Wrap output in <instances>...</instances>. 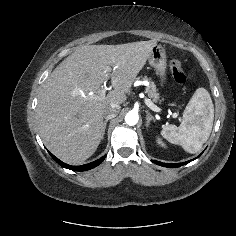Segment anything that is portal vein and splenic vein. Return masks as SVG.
Wrapping results in <instances>:
<instances>
[{
    "instance_id": "1",
    "label": "portal vein and splenic vein",
    "mask_w": 236,
    "mask_h": 236,
    "mask_svg": "<svg viewBox=\"0 0 236 236\" xmlns=\"http://www.w3.org/2000/svg\"><path fill=\"white\" fill-rule=\"evenodd\" d=\"M107 88L104 87L100 90V99H103L105 97V93H106ZM145 104L153 111L155 112H160L161 109L159 107H157L150 99L145 98ZM178 115L177 113L173 114V117L176 118Z\"/></svg>"
}]
</instances>
